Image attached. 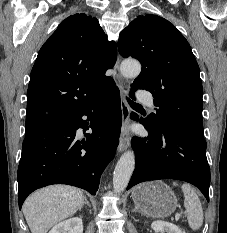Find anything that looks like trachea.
<instances>
[{"mask_svg":"<svg viewBox=\"0 0 227 233\" xmlns=\"http://www.w3.org/2000/svg\"><path fill=\"white\" fill-rule=\"evenodd\" d=\"M127 100H128V102H129V104H130L131 106H140L139 104L134 103V102L131 101L130 99H127Z\"/></svg>","mask_w":227,"mask_h":233,"instance_id":"trachea-1","label":"trachea"}]
</instances>
